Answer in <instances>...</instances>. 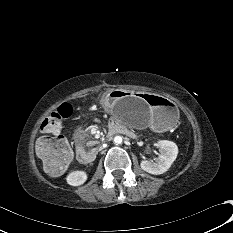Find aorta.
Here are the masks:
<instances>
[{
	"label": "aorta",
	"mask_w": 233,
	"mask_h": 233,
	"mask_svg": "<svg viewBox=\"0 0 233 233\" xmlns=\"http://www.w3.org/2000/svg\"><path fill=\"white\" fill-rule=\"evenodd\" d=\"M123 141L122 137L121 136H115L114 137V143L115 144H121Z\"/></svg>",
	"instance_id": "obj_1"
}]
</instances>
